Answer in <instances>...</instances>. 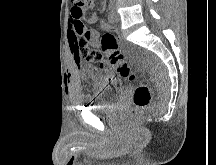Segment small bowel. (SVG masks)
Returning <instances> with one entry per match:
<instances>
[{
	"label": "small bowel",
	"instance_id": "c3829d8e",
	"mask_svg": "<svg viewBox=\"0 0 216 165\" xmlns=\"http://www.w3.org/2000/svg\"><path fill=\"white\" fill-rule=\"evenodd\" d=\"M88 8L93 9V4L89 5ZM86 8L80 10V8H72L71 16L68 22V41L71 52L74 55L76 63H80V54L77 47V40L81 37L87 39L88 43L92 47L99 45V33L92 28L93 25L98 23V16L93 13L86 19V24L83 22V16Z\"/></svg>",
	"mask_w": 216,
	"mask_h": 165
}]
</instances>
